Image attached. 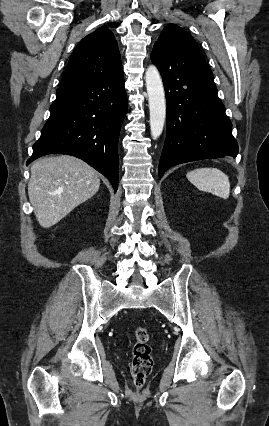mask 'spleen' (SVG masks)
<instances>
[{
    "label": "spleen",
    "mask_w": 269,
    "mask_h": 426,
    "mask_svg": "<svg viewBox=\"0 0 269 426\" xmlns=\"http://www.w3.org/2000/svg\"><path fill=\"white\" fill-rule=\"evenodd\" d=\"M188 180L199 190L223 199L230 195L229 177L217 168H199L187 173Z\"/></svg>",
    "instance_id": "spleen-1"
}]
</instances>
